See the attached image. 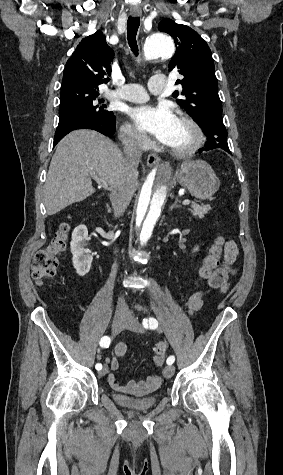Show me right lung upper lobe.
Returning <instances> with one entry per match:
<instances>
[{"label": "right lung upper lobe", "mask_w": 283, "mask_h": 475, "mask_svg": "<svg viewBox=\"0 0 283 475\" xmlns=\"http://www.w3.org/2000/svg\"><path fill=\"white\" fill-rule=\"evenodd\" d=\"M114 51L107 45L101 30L85 37L66 63L61 93H98V85L111 74Z\"/></svg>", "instance_id": "right-lung-upper-lobe-1"}]
</instances>
